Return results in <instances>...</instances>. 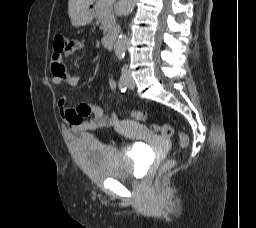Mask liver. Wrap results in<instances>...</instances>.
<instances>
[{
    "label": "liver",
    "mask_w": 256,
    "mask_h": 228,
    "mask_svg": "<svg viewBox=\"0 0 256 228\" xmlns=\"http://www.w3.org/2000/svg\"><path fill=\"white\" fill-rule=\"evenodd\" d=\"M95 0H69L68 14L71 17L79 9L91 5Z\"/></svg>",
    "instance_id": "1"
}]
</instances>
